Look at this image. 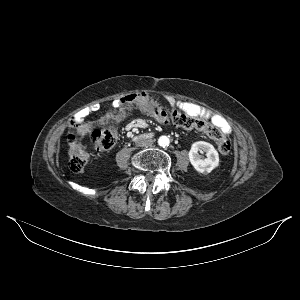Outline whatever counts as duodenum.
Returning a JSON list of instances; mask_svg holds the SVG:
<instances>
[{"label": "duodenum", "mask_w": 300, "mask_h": 300, "mask_svg": "<svg viewBox=\"0 0 300 300\" xmlns=\"http://www.w3.org/2000/svg\"><path fill=\"white\" fill-rule=\"evenodd\" d=\"M144 138H145V139H149L150 136L147 134V135L144 136Z\"/></svg>", "instance_id": "obj_1"}]
</instances>
